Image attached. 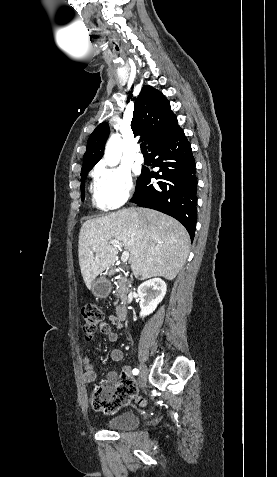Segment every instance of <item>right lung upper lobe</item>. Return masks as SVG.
<instances>
[{"label":"right lung upper lobe","instance_id":"1","mask_svg":"<svg viewBox=\"0 0 277 477\" xmlns=\"http://www.w3.org/2000/svg\"><path fill=\"white\" fill-rule=\"evenodd\" d=\"M131 128L135 136L148 144V150L169 138L179 125L169 101L158 90L144 86L136 99ZM110 133L106 122L99 124L90 135L81 170L92 168L103 156Z\"/></svg>","mask_w":277,"mask_h":477}]
</instances>
